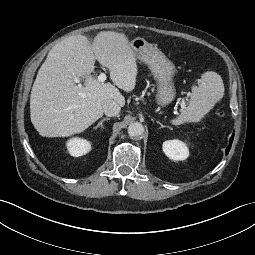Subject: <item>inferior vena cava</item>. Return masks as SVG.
<instances>
[{
	"mask_svg": "<svg viewBox=\"0 0 255 255\" xmlns=\"http://www.w3.org/2000/svg\"><path fill=\"white\" fill-rule=\"evenodd\" d=\"M103 111L107 116L113 117L119 114L120 106L114 100H106L103 103Z\"/></svg>",
	"mask_w": 255,
	"mask_h": 255,
	"instance_id": "inferior-vena-cava-1",
	"label": "inferior vena cava"
}]
</instances>
